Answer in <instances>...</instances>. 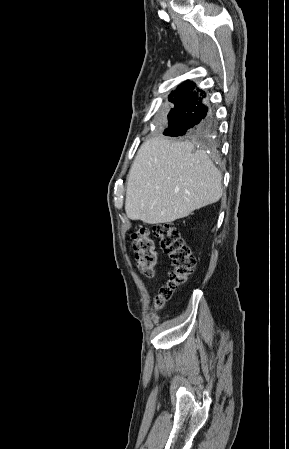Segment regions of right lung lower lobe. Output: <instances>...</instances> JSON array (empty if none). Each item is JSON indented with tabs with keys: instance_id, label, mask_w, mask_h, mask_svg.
<instances>
[{
	"instance_id": "obj_1",
	"label": "right lung lower lobe",
	"mask_w": 289,
	"mask_h": 449,
	"mask_svg": "<svg viewBox=\"0 0 289 449\" xmlns=\"http://www.w3.org/2000/svg\"><path fill=\"white\" fill-rule=\"evenodd\" d=\"M204 97V92L195 89V84L190 81L179 85L170 94L169 101L174 104L167 126L170 136L205 135L212 130V117L202 103Z\"/></svg>"
}]
</instances>
